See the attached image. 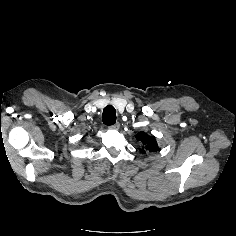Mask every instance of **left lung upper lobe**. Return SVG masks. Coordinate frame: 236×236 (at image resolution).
Returning a JSON list of instances; mask_svg holds the SVG:
<instances>
[{
    "label": "left lung upper lobe",
    "mask_w": 236,
    "mask_h": 236,
    "mask_svg": "<svg viewBox=\"0 0 236 236\" xmlns=\"http://www.w3.org/2000/svg\"><path fill=\"white\" fill-rule=\"evenodd\" d=\"M136 138L142 142L146 150L150 152H154L158 150V145H157L155 137L148 136L147 134L140 132L138 133ZM141 152L145 153L144 150H141Z\"/></svg>",
    "instance_id": "left-lung-upper-lobe-1"
}]
</instances>
